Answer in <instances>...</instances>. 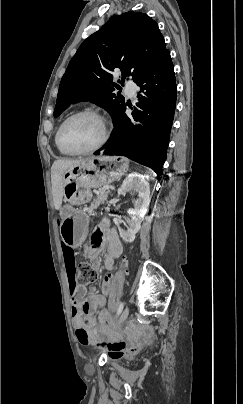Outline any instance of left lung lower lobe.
Returning <instances> with one entry per match:
<instances>
[{"instance_id": "0a47b994", "label": "left lung lower lobe", "mask_w": 243, "mask_h": 404, "mask_svg": "<svg viewBox=\"0 0 243 404\" xmlns=\"http://www.w3.org/2000/svg\"><path fill=\"white\" fill-rule=\"evenodd\" d=\"M140 87L137 106L144 110L132 113L141 119L137 131L132 119L125 114L114 123L111 138L96 155L126 156L153 169L158 176L166 160L167 147L176 106V79L170 52H166L155 65L136 82Z\"/></svg>"}]
</instances>
